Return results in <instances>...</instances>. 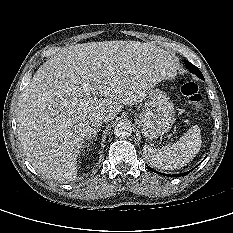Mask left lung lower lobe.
<instances>
[{"mask_svg":"<svg viewBox=\"0 0 233 233\" xmlns=\"http://www.w3.org/2000/svg\"><path fill=\"white\" fill-rule=\"evenodd\" d=\"M202 80H204V78H202ZM150 168V167H149ZM151 169V168H150ZM152 170V169H151ZM153 172H155V173H157L156 171H154V170H152ZM191 171H188V172H185V173H182V174H180V175H182V176H185V175H187L188 173H190ZM162 174V173H161ZM164 175V174H163ZM166 176H167V174H165ZM171 176V175H170ZM173 176H177V175H173Z\"/></svg>","mask_w":233,"mask_h":233,"instance_id":"obj_1","label":"left lung lower lobe"}]
</instances>
